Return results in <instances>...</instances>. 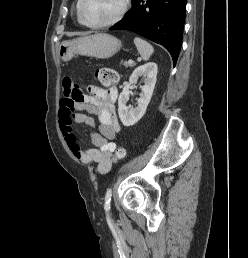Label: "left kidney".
I'll use <instances>...</instances> for the list:
<instances>
[{"mask_svg": "<svg viewBox=\"0 0 248 258\" xmlns=\"http://www.w3.org/2000/svg\"><path fill=\"white\" fill-rule=\"evenodd\" d=\"M157 70V64L154 62H149L137 67L130 76L129 83L124 86L120 93L118 99V114L125 127L133 126L145 114L156 84ZM139 77H145V81L144 85L140 87L141 93L137 100L138 106L129 110L126 106L129 100V89L132 88L133 84L137 83Z\"/></svg>", "mask_w": 248, "mask_h": 258, "instance_id": "left-kidney-1", "label": "left kidney"}]
</instances>
